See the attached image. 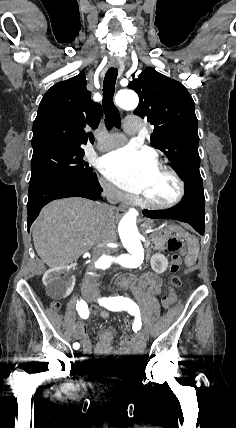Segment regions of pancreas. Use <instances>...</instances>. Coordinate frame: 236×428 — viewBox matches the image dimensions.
Returning a JSON list of instances; mask_svg holds the SVG:
<instances>
[{
	"label": "pancreas",
	"mask_w": 236,
	"mask_h": 428,
	"mask_svg": "<svg viewBox=\"0 0 236 428\" xmlns=\"http://www.w3.org/2000/svg\"><path fill=\"white\" fill-rule=\"evenodd\" d=\"M152 242L154 246H151L153 250H165V242L164 238H158V236H151Z\"/></svg>",
	"instance_id": "cf45deb5"
}]
</instances>
